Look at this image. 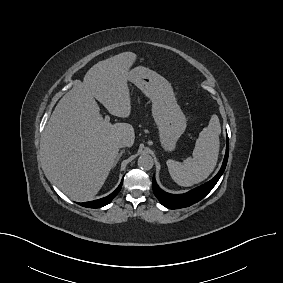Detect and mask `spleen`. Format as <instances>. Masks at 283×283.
<instances>
[{
	"mask_svg": "<svg viewBox=\"0 0 283 283\" xmlns=\"http://www.w3.org/2000/svg\"><path fill=\"white\" fill-rule=\"evenodd\" d=\"M221 126L217 115H212L207 127L196 140L193 157L184 163L167 160L172 179L180 186L189 187L205 180L214 170L219 155Z\"/></svg>",
	"mask_w": 283,
	"mask_h": 283,
	"instance_id": "spleen-1",
	"label": "spleen"
}]
</instances>
